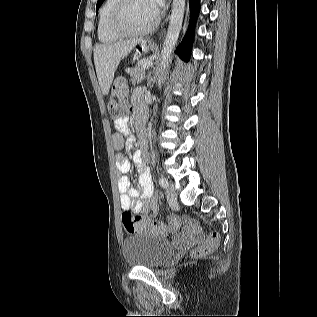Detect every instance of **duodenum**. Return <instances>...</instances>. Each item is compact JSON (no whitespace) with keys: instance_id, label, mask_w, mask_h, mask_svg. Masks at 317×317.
Listing matches in <instances>:
<instances>
[{"instance_id":"obj_1","label":"duodenum","mask_w":317,"mask_h":317,"mask_svg":"<svg viewBox=\"0 0 317 317\" xmlns=\"http://www.w3.org/2000/svg\"><path fill=\"white\" fill-rule=\"evenodd\" d=\"M137 131L140 136H143V129L141 128V126L137 127Z\"/></svg>"}]
</instances>
